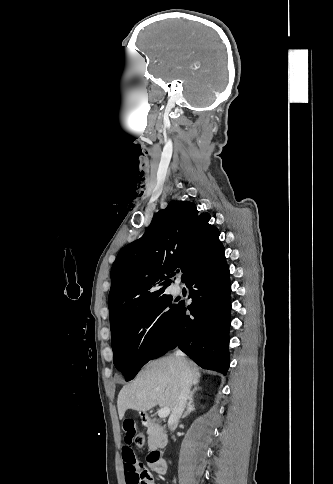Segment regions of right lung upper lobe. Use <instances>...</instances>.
<instances>
[{"instance_id":"right-lung-upper-lobe-1","label":"right lung upper lobe","mask_w":333,"mask_h":484,"mask_svg":"<svg viewBox=\"0 0 333 484\" xmlns=\"http://www.w3.org/2000/svg\"><path fill=\"white\" fill-rule=\"evenodd\" d=\"M192 202L171 201L144 235L122 248L111 269L110 328L137 308L163 296L180 268L182 280L200 270L222 246L219 231ZM173 273V274H172Z\"/></svg>"}]
</instances>
